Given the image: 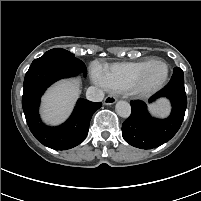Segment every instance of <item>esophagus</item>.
I'll return each instance as SVG.
<instances>
[{"label": "esophagus", "mask_w": 201, "mask_h": 201, "mask_svg": "<svg viewBox=\"0 0 201 201\" xmlns=\"http://www.w3.org/2000/svg\"><path fill=\"white\" fill-rule=\"evenodd\" d=\"M117 101V99L114 97V96H107L105 99H104V104L105 105H112L114 104L115 102Z\"/></svg>", "instance_id": "1"}]
</instances>
